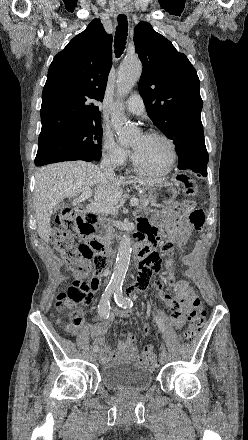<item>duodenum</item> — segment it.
Masks as SVG:
<instances>
[{"instance_id": "1", "label": "duodenum", "mask_w": 248, "mask_h": 440, "mask_svg": "<svg viewBox=\"0 0 248 440\" xmlns=\"http://www.w3.org/2000/svg\"><path fill=\"white\" fill-rule=\"evenodd\" d=\"M98 221V216L95 214H87L83 219V225H82V233L85 235H90L93 231L94 224ZM92 245L100 251L103 255L109 256L112 253V249L109 246L107 240L100 241L98 239V236H93L92 238ZM152 251V246L149 244L146 240H144L140 236H136L134 238V252L136 258L140 261V267L142 264L143 257H149ZM105 272H101L102 275H104Z\"/></svg>"}]
</instances>
